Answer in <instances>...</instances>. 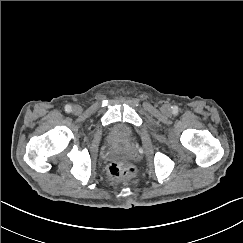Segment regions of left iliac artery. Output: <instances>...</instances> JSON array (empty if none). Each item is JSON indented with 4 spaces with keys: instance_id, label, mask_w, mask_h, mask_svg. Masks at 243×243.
<instances>
[{
    "instance_id": "1",
    "label": "left iliac artery",
    "mask_w": 243,
    "mask_h": 243,
    "mask_svg": "<svg viewBox=\"0 0 243 243\" xmlns=\"http://www.w3.org/2000/svg\"><path fill=\"white\" fill-rule=\"evenodd\" d=\"M173 110H174V111H177V107H174Z\"/></svg>"
}]
</instances>
